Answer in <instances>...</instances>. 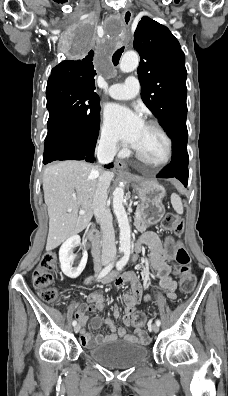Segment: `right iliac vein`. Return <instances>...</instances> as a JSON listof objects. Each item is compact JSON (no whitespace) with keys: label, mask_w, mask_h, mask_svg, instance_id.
<instances>
[{"label":"right iliac vein","mask_w":228,"mask_h":396,"mask_svg":"<svg viewBox=\"0 0 228 396\" xmlns=\"http://www.w3.org/2000/svg\"><path fill=\"white\" fill-rule=\"evenodd\" d=\"M104 264H106V263H104ZM80 331V325L78 324V325H75L74 326V332L75 333H78Z\"/></svg>","instance_id":"1"}]
</instances>
